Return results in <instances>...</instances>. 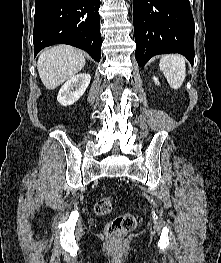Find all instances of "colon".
Instances as JSON below:
<instances>
[{"label": "colon", "instance_id": "1", "mask_svg": "<svg viewBox=\"0 0 221 263\" xmlns=\"http://www.w3.org/2000/svg\"><path fill=\"white\" fill-rule=\"evenodd\" d=\"M114 199L104 197L95 204V212L98 215H106L112 211ZM136 226V219L131 213H124L110 220L105 228L106 234L113 240H119L131 232Z\"/></svg>", "mask_w": 221, "mask_h": 263}]
</instances>
